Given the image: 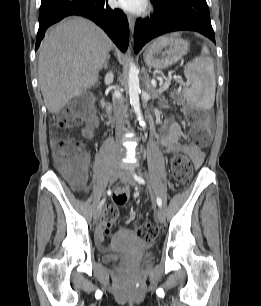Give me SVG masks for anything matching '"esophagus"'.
Masks as SVG:
<instances>
[{
  "instance_id": "esophagus-1",
  "label": "esophagus",
  "mask_w": 261,
  "mask_h": 306,
  "mask_svg": "<svg viewBox=\"0 0 261 306\" xmlns=\"http://www.w3.org/2000/svg\"><path fill=\"white\" fill-rule=\"evenodd\" d=\"M127 18H128L130 31L133 32L134 26H135V17L133 15L129 14L127 16Z\"/></svg>"
}]
</instances>
